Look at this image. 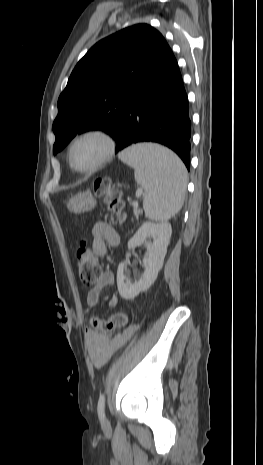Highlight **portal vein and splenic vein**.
Returning a JSON list of instances; mask_svg holds the SVG:
<instances>
[{
	"instance_id": "18ae733b",
	"label": "portal vein and splenic vein",
	"mask_w": 263,
	"mask_h": 465,
	"mask_svg": "<svg viewBox=\"0 0 263 465\" xmlns=\"http://www.w3.org/2000/svg\"><path fill=\"white\" fill-rule=\"evenodd\" d=\"M142 193H143V190H142V189H138V190L136 191V196L139 198V197L142 195ZM132 205H133V207H138V203H137V202H133Z\"/></svg>"
}]
</instances>
